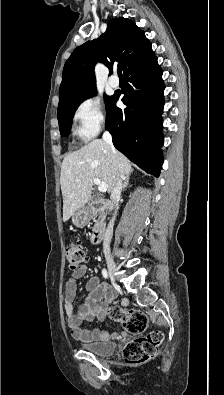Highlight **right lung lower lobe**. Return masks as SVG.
Instances as JSON below:
<instances>
[{
  "instance_id": "right-lung-lower-lobe-1",
  "label": "right lung lower lobe",
  "mask_w": 224,
  "mask_h": 395,
  "mask_svg": "<svg viewBox=\"0 0 224 395\" xmlns=\"http://www.w3.org/2000/svg\"><path fill=\"white\" fill-rule=\"evenodd\" d=\"M127 81L121 99L127 106H116L121 93H115L107 106L106 129L114 146L147 173L159 176L161 154L162 109L164 105L162 69L151 50L124 73ZM129 82V83H128Z\"/></svg>"
}]
</instances>
